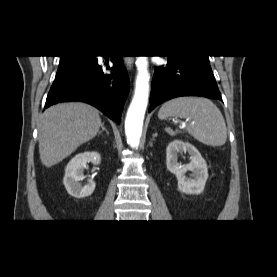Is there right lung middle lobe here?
Segmentation results:
<instances>
[{
    "mask_svg": "<svg viewBox=\"0 0 277 277\" xmlns=\"http://www.w3.org/2000/svg\"><path fill=\"white\" fill-rule=\"evenodd\" d=\"M91 58H92V56H88V55L61 56L59 68H58L55 80L65 76L66 74L70 73L71 71L84 65Z\"/></svg>",
    "mask_w": 277,
    "mask_h": 277,
    "instance_id": "dd1d6c3e",
    "label": "right lung middle lobe"
}]
</instances>
